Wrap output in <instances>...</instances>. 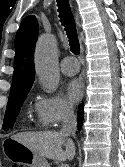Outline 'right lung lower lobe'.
<instances>
[{
    "label": "right lung lower lobe",
    "mask_w": 125,
    "mask_h": 167,
    "mask_svg": "<svg viewBox=\"0 0 125 167\" xmlns=\"http://www.w3.org/2000/svg\"><path fill=\"white\" fill-rule=\"evenodd\" d=\"M83 117H84V112H83V105L81 104L80 107H79V110H78V123H77V126H78V129L80 130L81 129V126L83 124Z\"/></svg>",
    "instance_id": "98d812e1"
}]
</instances>
